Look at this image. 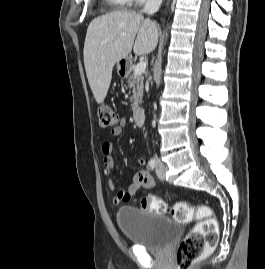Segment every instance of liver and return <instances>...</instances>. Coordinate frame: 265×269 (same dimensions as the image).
Here are the masks:
<instances>
[{"label": "liver", "instance_id": "6515ba94", "mask_svg": "<svg viewBox=\"0 0 265 269\" xmlns=\"http://www.w3.org/2000/svg\"><path fill=\"white\" fill-rule=\"evenodd\" d=\"M157 25L141 13L113 11L93 19L84 43V66L97 103L106 98L116 62L132 49L136 55L151 53L158 44Z\"/></svg>", "mask_w": 265, "mask_h": 269}]
</instances>
